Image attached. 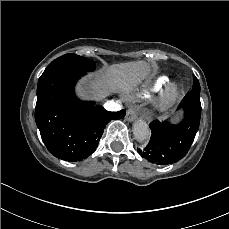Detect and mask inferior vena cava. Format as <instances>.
I'll return each mask as SVG.
<instances>
[{"instance_id":"1","label":"inferior vena cava","mask_w":229,"mask_h":229,"mask_svg":"<svg viewBox=\"0 0 229 229\" xmlns=\"http://www.w3.org/2000/svg\"><path fill=\"white\" fill-rule=\"evenodd\" d=\"M104 108L107 111H112V112H116V111H120L121 110V106L114 102V101H106L104 104Z\"/></svg>"}]
</instances>
